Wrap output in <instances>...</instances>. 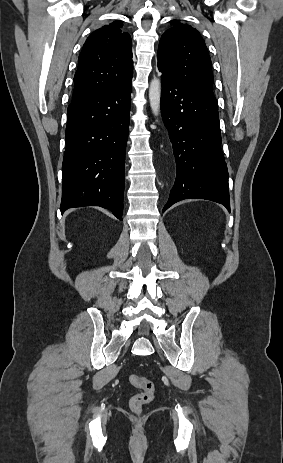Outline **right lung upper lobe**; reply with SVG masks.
<instances>
[{"instance_id": "right-lung-upper-lobe-1", "label": "right lung upper lobe", "mask_w": 283, "mask_h": 463, "mask_svg": "<svg viewBox=\"0 0 283 463\" xmlns=\"http://www.w3.org/2000/svg\"><path fill=\"white\" fill-rule=\"evenodd\" d=\"M122 26L114 21L87 38L79 55L72 101L132 79L131 38Z\"/></svg>"}]
</instances>
